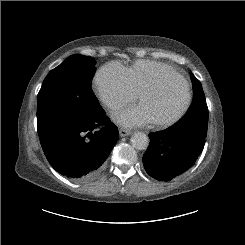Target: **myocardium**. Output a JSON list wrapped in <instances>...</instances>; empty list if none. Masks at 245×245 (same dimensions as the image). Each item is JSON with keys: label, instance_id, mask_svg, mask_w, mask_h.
Returning a JSON list of instances; mask_svg holds the SVG:
<instances>
[{"label": "myocardium", "instance_id": "f54148a6", "mask_svg": "<svg viewBox=\"0 0 245 245\" xmlns=\"http://www.w3.org/2000/svg\"><path fill=\"white\" fill-rule=\"evenodd\" d=\"M168 75H174L184 83L186 88V93H187V100L184 107L175 116L166 120L153 122V124L160 129H166L179 122L186 115L193 101V93H192L190 82L182 73H180L176 69H169L167 71L160 73L153 83H151L149 86L145 87L143 90L139 92L138 99L140 100L142 96L158 91L160 88V81Z\"/></svg>", "mask_w": 245, "mask_h": 245}]
</instances>
